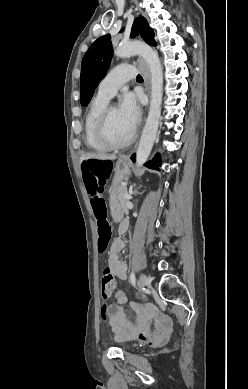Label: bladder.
Here are the masks:
<instances>
[{
    "mask_svg": "<svg viewBox=\"0 0 248 389\" xmlns=\"http://www.w3.org/2000/svg\"><path fill=\"white\" fill-rule=\"evenodd\" d=\"M120 349L123 351H128L130 349V346L126 345V344H122V345H120Z\"/></svg>",
    "mask_w": 248,
    "mask_h": 389,
    "instance_id": "1",
    "label": "bladder"
}]
</instances>
